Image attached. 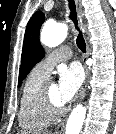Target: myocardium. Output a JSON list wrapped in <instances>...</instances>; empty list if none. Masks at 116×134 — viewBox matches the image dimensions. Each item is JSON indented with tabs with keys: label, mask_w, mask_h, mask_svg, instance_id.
Instances as JSON below:
<instances>
[{
	"label": "myocardium",
	"mask_w": 116,
	"mask_h": 134,
	"mask_svg": "<svg viewBox=\"0 0 116 134\" xmlns=\"http://www.w3.org/2000/svg\"><path fill=\"white\" fill-rule=\"evenodd\" d=\"M49 84L50 80L47 79L40 91V102L45 111L55 117L61 115L65 108L62 104H57L51 99L48 90Z\"/></svg>",
	"instance_id": "myocardium-1"
}]
</instances>
